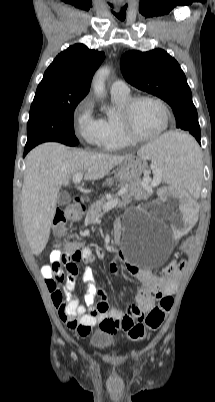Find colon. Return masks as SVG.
<instances>
[{
    "label": "colon",
    "mask_w": 215,
    "mask_h": 402,
    "mask_svg": "<svg viewBox=\"0 0 215 402\" xmlns=\"http://www.w3.org/2000/svg\"><path fill=\"white\" fill-rule=\"evenodd\" d=\"M66 231V220L63 212L58 210L54 217V233L57 236H61ZM197 242L196 236H189L188 239L182 241L183 245H180L178 251L180 254H187L189 250L193 248V243ZM80 244L78 239L73 238L71 241H63L62 248L66 250V255H71V250L79 249ZM81 257V252L77 251L73 255L72 262H66L64 260H52L50 263L54 269L59 270L65 267L66 271L75 270V262ZM184 268L183 262L172 264L166 268V273L169 275H177ZM47 287L52 294V299L57 307L62 305V294L57 288L56 282L52 279L46 280ZM173 305V298L171 296L162 297L158 306L152 308L149 313L144 316L137 324H134L129 330L128 334L132 340L142 339L147 331L158 329L163 323L166 314L169 312Z\"/></svg>",
    "instance_id": "colon-1"
}]
</instances>
